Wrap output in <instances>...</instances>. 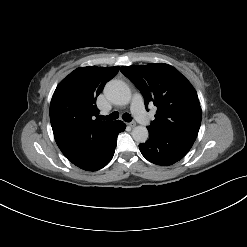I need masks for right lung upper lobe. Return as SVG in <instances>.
I'll return each instance as SVG.
<instances>
[{"label": "right lung upper lobe", "mask_w": 247, "mask_h": 247, "mask_svg": "<svg viewBox=\"0 0 247 247\" xmlns=\"http://www.w3.org/2000/svg\"><path fill=\"white\" fill-rule=\"evenodd\" d=\"M119 67L77 68L57 86L50 104V121L56 143L68 160L84 152L91 136L112 122L95 119L96 99Z\"/></svg>", "instance_id": "1"}]
</instances>
